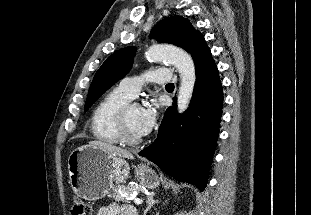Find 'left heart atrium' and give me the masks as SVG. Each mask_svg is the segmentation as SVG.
<instances>
[{
  "label": "left heart atrium",
  "mask_w": 311,
  "mask_h": 215,
  "mask_svg": "<svg viewBox=\"0 0 311 215\" xmlns=\"http://www.w3.org/2000/svg\"><path fill=\"white\" fill-rule=\"evenodd\" d=\"M157 118V108L155 104H149L141 108L137 129L141 136H146L155 125Z\"/></svg>",
  "instance_id": "left-heart-atrium-1"
}]
</instances>
